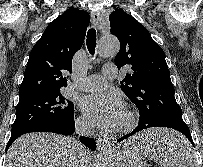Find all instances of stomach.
Returning <instances> with one entry per match:
<instances>
[{
    "label": "stomach",
    "instance_id": "stomach-1",
    "mask_svg": "<svg viewBox=\"0 0 203 167\" xmlns=\"http://www.w3.org/2000/svg\"><path fill=\"white\" fill-rule=\"evenodd\" d=\"M159 131L164 130L147 131L140 136L146 138L151 133L155 134ZM147 139L143 140L142 142L147 141ZM138 149L139 147H137L135 144L127 142L124 146V149L115 151L113 153V161L115 162L116 167H146Z\"/></svg>",
    "mask_w": 203,
    "mask_h": 167
}]
</instances>
